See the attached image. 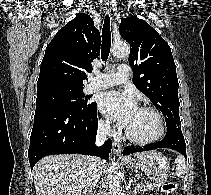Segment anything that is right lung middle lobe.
<instances>
[{"label":"right lung middle lobe","mask_w":211,"mask_h":195,"mask_svg":"<svg viewBox=\"0 0 211 195\" xmlns=\"http://www.w3.org/2000/svg\"><path fill=\"white\" fill-rule=\"evenodd\" d=\"M83 94V89H50L37 93L36 109L40 107H61L66 109L85 110L94 102Z\"/></svg>","instance_id":"1"}]
</instances>
